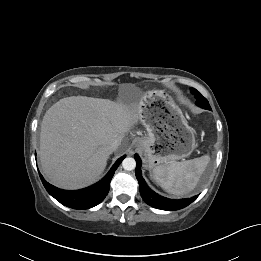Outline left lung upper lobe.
<instances>
[{
    "instance_id": "left-lung-upper-lobe-1",
    "label": "left lung upper lobe",
    "mask_w": 261,
    "mask_h": 261,
    "mask_svg": "<svg viewBox=\"0 0 261 261\" xmlns=\"http://www.w3.org/2000/svg\"><path fill=\"white\" fill-rule=\"evenodd\" d=\"M191 92L195 95L196 104L204 109L211 110V107L205 97H203L196 89L192 88Z\"/></svg>"
}]
</instances>
